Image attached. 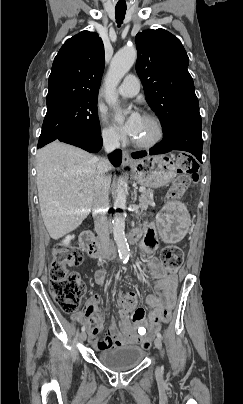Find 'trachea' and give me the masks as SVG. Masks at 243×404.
I'll list each match as a JSON object with an SVG mask.
<instances>
[{
	"label": "trachea",
	"instance_id": "trachea-1",
	"mask_svg": "<svg viewBox=\"0 0 243 404\" xmlns=\"http://www.w3.org/2000/svg\"><path fill=\"white\" fill-rule=\"evenodd\" d=\"M126 6H116L115 7V17H116V23L118 24V27L121 26L123 23V20L125 18V13H126Z\"/></svg>",
	"mask_w": 243,
	"mask_h": 404
}]
</instances>
